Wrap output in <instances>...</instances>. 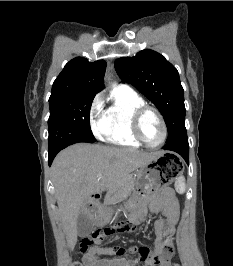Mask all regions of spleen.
Segmentation results:
<instances>
[{
	"label": "spleen",
	"mask_w": 233,
	"mask_h": 266,
	"mask_svg": "<svg viewBox=\"0 0 233 266\" xmlns=\"http://www.w3.org/2000/svg\"><path fill=\"white\" fill-rule=\"evenodd\" d=\"M175 189L180 194H183L185 192V178L183 176H180L177 179L175 183Z\"/></svg>",
	"instance_id": "1"
}]
</instances>
